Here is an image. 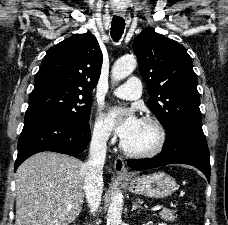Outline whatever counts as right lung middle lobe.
Returning <instances> with one entry per match:
<instances>
[{
	"instance_id": "obj_1",
	"label": "right lung middle lobe",
	"mask_w": 228,
	"mask_h": 225,
	"mask_svg": "<svg viewBox=\"0 0 228 225\" xmlns=\"http://www.w3.org/2000/svg\"><path fill=\"white\" fill-rule=\"evenodd\" d=\"M92 104L91 93L75 86L48 82L34 85L25 118L55 114L87 124Z\"/></svg>"
}]
</instances>
